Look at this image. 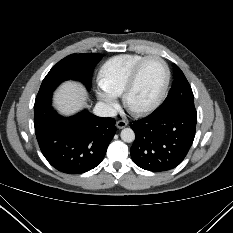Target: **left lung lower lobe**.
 <instances>
[{
	"instance_id": "obj_1",
	"label": "left lung lower lobe",
	"mask_w": 233,
	"mask_h": 233,
	"mask_svg": "<svg viewBox=\"0 0 233 233\" xmlns=\"http://www.w3.org/2000/svg\"><path fill=\"white\" fill-rule=\"evenodd\" d=\"M197 112L194 106H177L134 121L136 138L130 153L133 162L152 172L168 171L187 155L194 137Z\"/></svg>"
}]
</instances>
